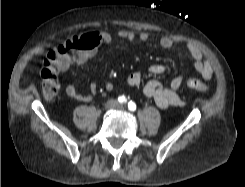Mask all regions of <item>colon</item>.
I'll list each match as a JSON object with an SVG mask.
<instances>
[{
    "instance_id": "obj_1",
    "label": "colon",
    "mask_w": 245,
    "mask_h": 187,
    "mask_svg": "<svg viewBox=\"0 0 245 187\" xmlns=\"http://www.w3.org/2000/svg\"><path fill=\"white\" fill-rule=\"evenodd\" d=\"M86 48V37L82 35H74L62 41L50 51L51 56L47 57L41 69V86L43 95L46 98H54L59 91L58 81V65L65 62L67 57L75 50H84ZM186 85L190 89L200 92H208L209 85L196 78H188Z\"/></svg>"
}]
</instances>
